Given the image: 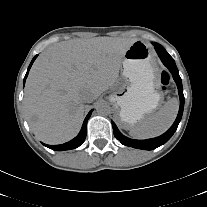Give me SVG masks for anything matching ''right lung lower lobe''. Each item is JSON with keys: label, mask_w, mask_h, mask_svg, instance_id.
Masks as SVG:
<instances>
[{"label": "right lung lower lobe", "mask_w": 207, "mask_h": 207, "mask_svg": "<svg viewBox=\"0 0 207 207\" xmlns=\"http://www.w3.org/2000/svg\"><path fill=\"white\" fill-rule=\"evenodd\" d=\"M36 57H37V55L33 58V60L31 61L30 65L28 67L27 73H26L25 78H24V84H25V80L27 78L28 72H29V70L31 68V65L34 62V60L36 59ZM91 113H92V110L86 116V118H85V120L83 122V125H82L80 133L74 139H72L71 141H69L67 143L61 144V145H47V144H44V145L46 147H48V148H50L52 150H56V151L70 150V149H74V148L79 147L84 142V140L86 138V134H87V120L89 119Z\"/></svg>", "instance_id": "98d812e1"}]
</instances>
